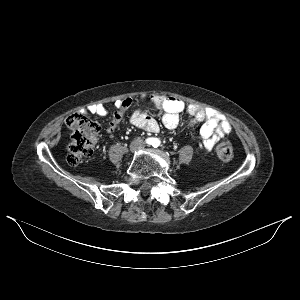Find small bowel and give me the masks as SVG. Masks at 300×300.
I'll return each instance as SVG.
<instances>
[{
    "label": "small bowel",
    "instance_id": "c3829d8e",
    "mask_svg": "<svg viewBox=\"0 0 300 300\" xmlns=\"http://www.w3.org/2000/svg\"><path fill=\"white\" fill-rule=\"evenodd\" d=\"M151 101L155 108L163 110L162 122L168 129H175L180 125V113L183 111L190 116L189 126L202 123L200 134L203 139V146L208 151H211L223 137L232 132L230 122L214 109L197 104H186L173 96L156 95L152 97ZM115 105L120 106V102H116ZM87 111L102 117L109 112L104 104L91 105ZM128 119L131 124L147 132L155 133L159 130L157 121L143 109L132 111Z\"/></svg>",
    "mask_w": 300,
    "mask_h": 300
}]
</instances>
